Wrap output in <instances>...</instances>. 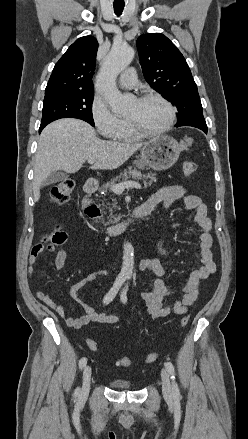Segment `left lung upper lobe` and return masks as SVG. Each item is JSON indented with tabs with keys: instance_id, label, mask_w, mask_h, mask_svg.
<instances>
[{
	"instance_id": "5c2ea615",
	"label": "left lung upper lobe",
	"mask_w": 248,
	"mask_h": 439,
	"mask_svg": "<svg viewBox=\"0 0 248 439\" xmlns=\"http://www.w3.org/2000/svg\"><path fill=\"white\" fill-rule=\"evenodd\" d=\"M136 44L146 81L177 107L176 126H207L197 85L177 47L161 33L141 35Z\"/></svg>"
}]
</instances>
